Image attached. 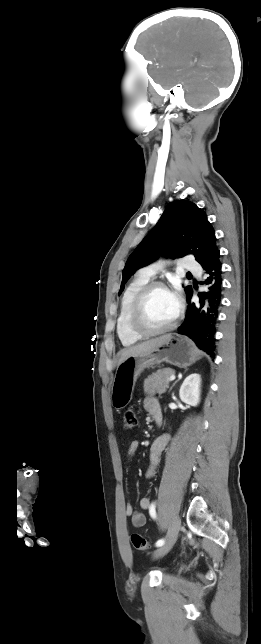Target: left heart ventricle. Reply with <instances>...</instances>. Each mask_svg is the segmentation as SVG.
<instances>
[{
    "instance_id": "obj_1",
    "label": "left heart ventricle",
    "mask_w": 261,
    "mask_h": 644,
    "mask_svg": "<svg viewBox=\"0 0 261 644\" xmlns=\"http://www.w3.org/2000/svg\"><path fill=\"white\" fill-rule=\"evenodd\" d=\"M178 308L171 293L164 289H155L147 297L143 321L150 329L165 327L175 318Z\"/></svg>"
}]
</instances>
